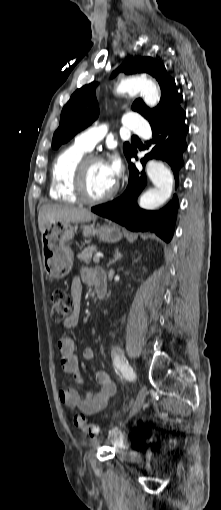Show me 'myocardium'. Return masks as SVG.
<instances>
[{
  "instance_id": "f54148a6",
  "label": "myocardium",
  "mask_w": 221,
  "mask_h": 510,
  "mask_svg": "<svg viewBox=\"0 0 221 510\" xmlns=\"http://www.w3.org/2000/svg\"><path fill=\"white\" fill-rule=\"evenodd\" d=\"M92 162H104V159L93 153L85 154L76 164L72 176V189L78 201L87 205H98L113 199L118 192V183L107 194L92 198L88 195L86 189V179L88 167Z\"/></svg>"
}]
</instances>
